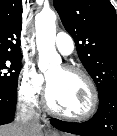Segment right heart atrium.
Listing matches in <instances>:
<instances>
[{"label": "right heart atrium", "instance_id": "right-heart-atrium-1", "mask_svg": "<svg viewBox=\"0 0 117 136\" xmlns=\"http://www.w3.org/2000/svg\"><path fill=\"white\" fill-rule=\"evenodd\" d=\"M44 92V78L33 67H25L18 80L19 99L27 106L38 104Z\"/></svg>", "mask_w": 117, "mask_h": 136}]
</instances>
